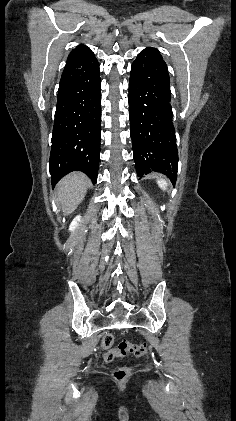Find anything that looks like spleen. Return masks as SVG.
Here are the masks:
<instances>
[{
  "instance_id": "spleen-1",
  "label": "spleen",
  "mask_w": 236,
  "mask_h": 421,
  "mask_svg": "<svg viewBox=\"0 0 236 421\" xmlns=\"http://www.w3.org/2000/svg\"><path fill=\"white\" fill-rule=\"evenodd\" d=\"M157 184H159L160 188H163V190H165L168 182H166L164 178H160V180H157Z\"/></svg>"
}]
</instances>
